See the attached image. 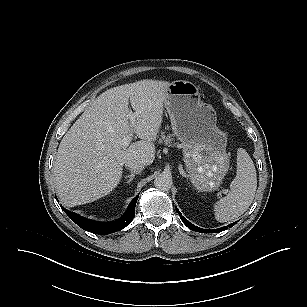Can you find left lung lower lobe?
<instances>
[{
    "mask_svg": "<svg viewBox=\"0 0 307 307\" xmlns=\"http://www.w3.org/2000/svg\"><path fill=\"white\" fill-rule=\"evenodd\" d=\"M176 211L178 212L181 220L183 221V223L188 227L190 228L191 230H194L196 232H199V233H218V232H221V231H224V230H227L228 228H231L232 226H234L237 222H234V223H231L229 224L228 226H225V227H222V228H218V229H213V230H207V229H202V228H199L195 225H193L192 223H190L187 219H185L180 211L178 209H176Z\"/></svg>",
    "mask_w": 307,
    "mask_h": 307,
    "instance_id": "1",
    "label": "left lung lower lobe"
}]
</instances>
